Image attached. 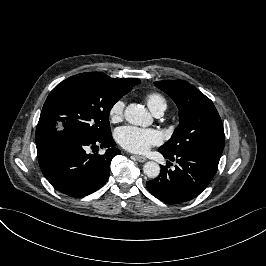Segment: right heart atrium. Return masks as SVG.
<instances>
[{
	"label": "right heart atrium",
	"mask_w": 266,
	"mask_h": 266,
	"mask_svg": "<svg viewBox=\"0 0 266 266\" xmlns=\"http://www.w3.org/2000/svg\"><path fill=\"white\" fill-rule=\"evenodd\" d=\"M126 107V100L119 98L115 100L108 110V118L112 123L119 122L124 117V110Z\"/></svg>",
	"instance_id": "right-heart-atrium-1"
}]
</instances>
